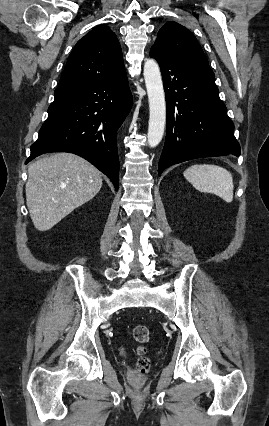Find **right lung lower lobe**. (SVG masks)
Returning <instances> with one entry per match:
<instances>
[{
  "label": "right lung lower lobe",
  "instance_id": "1",
  "mask_svg": "<svg viewBox=\"0 0 269 426\" xmlns=\"http://www.w3.org/2000/svg\"><path fill=\"white\" fill-rule=\"evenodd\" d=\"M126 72L112 79L55 92L26 163L49 152H70L92 163L118 190L117 130L130 112Z\"/></svg>",
  "mask_w": 269,
  "mask_h": 426
}]
</instances>
